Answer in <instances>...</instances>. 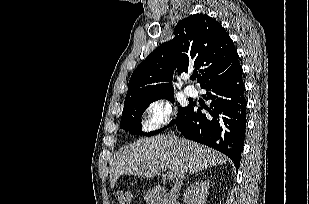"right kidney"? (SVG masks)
Returning <instances> with one entry per match:
<instances>
[{"mask_svg": "<svg viewBox=\"0 0 309 204\" xmlns=\"http://www.w3.org/2000/svg\"><path fill=\"white\" fill-rule=\"evenodd\" d=\"M209 183L206 181L195 182L187 188L183 195L186 204H206Z\"/></svg>", "mask_w": 309, "mask_h": 204, "instance_id": "right-kidney-1", "label": "right kidney"}]
</instances>
